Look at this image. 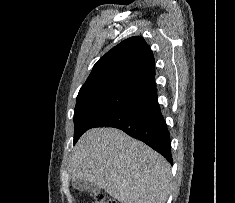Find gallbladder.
<instances>
[{
    "label": "gallbladder",
    "instance_id": "obj_1",
    "mask_svg": "<svg viewBox=\"0 0 235 203\" xmlns=\"http://www.w3.org/2000/svg\"><path fill=\"white\" fill-rule=\"evenodd\" d=\"M73 186L82 192H96L99 190L96 184L81 180L73 181Z\"/></svg>",
    "mask_w": 235,
    "mask_h": 203
}]
</instances>
